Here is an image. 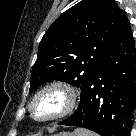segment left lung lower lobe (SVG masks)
<instances>
[{
  "label": "left lung lower lobe",
  "instance_id": "left-lung-lower-lobe-1",
  "mask_svg": "<svg viewBox=\"0 0 136 136\" xmlns=\"http://www.w3.org/2000/svg\"><path fill=\"white\" fill-rule=\"evenodd\" d=\"M135 62L134 40L126 17L82 88L78 109L58 124L83 127L101 136H129L136 101Z\"/></svg>",
  "mask_w": 136,
  "mask_h": 136
}]
</instances>
